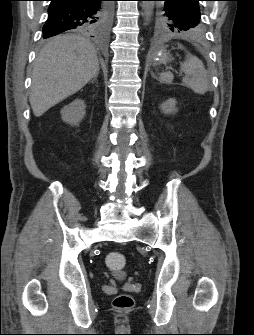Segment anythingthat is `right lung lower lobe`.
Masks as SVG:
<instances>
[{"label":"right lung lower lobe","mask_w":254,"mask_h":335,"mask_svg":"<svg viewBox=\"0 0 254 335\" xmlns=\"http://www.w3.org/2000/svg\"><path fill=\"white\" fill-rule=\"evenodd\" d=\"M48 19L43 26V38L67 30L90 31L98 22L103 0H50Z\"/></svg>","instance_id":"98d812e1"}]
</instances>
